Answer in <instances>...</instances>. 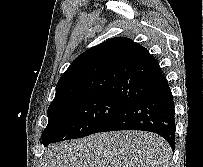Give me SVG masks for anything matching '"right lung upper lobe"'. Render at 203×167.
Segmentation results:
<instances>
[{
	"mask_svg": "<svg viewBox=\"0 0 203 167\" xmlns=\"http://www.w3.org/2000/svg\"><path fill=\"white\" fill-rule=\"evenodd\" d=\"M167 82L158 61L131 39L115 37L79 55L57 83L49 108L90 96L132 103Z\"/></svg>",
	"mask_w": 203,
	"mask_h": 167,
	"instance_id": "right-lung-upper-lobe-1",
	"label": "right lung upper lobe"
}]
</instances>
